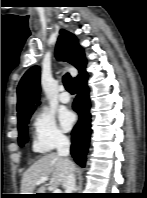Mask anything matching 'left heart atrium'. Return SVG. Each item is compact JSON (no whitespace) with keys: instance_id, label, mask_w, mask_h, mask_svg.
Masks as SVG:
<instances>
[{"instance_id":"1","label":"left heart atrium","mask_w":147,"mask_h":198,"mask_svg":"<svg viewBox=\"0 0 147 198\" xmlns=\"http://www.w3.org/2000/svg\"><path fill=\"white\" fill-rule=\"evenodd\" d=\"M59 119L63 129L69 130L74 124L75 116L72 112L64 110L60 113Z\"/></svg>"}]
</instances>
